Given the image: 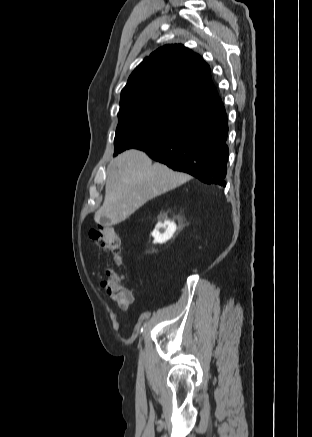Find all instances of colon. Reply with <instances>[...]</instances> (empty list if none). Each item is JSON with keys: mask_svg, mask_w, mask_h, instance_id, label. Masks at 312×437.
Segmentation results:
<instances>
[{"mask_svg": "<svg viewBox=\"0 0 312 437\" xmlns=\"http://www.w3.org/2000/svg\"><path fill=\"white\" fill-rule=\"evenodd\" d=\"M90 238L105 252L112 255L115 262L119 263L120 236L114 228L101 226L89 232ZM101 288L112 301L120 308H127L131 302L130 291L121 283L120 277L113 269H106V277L101 281Z\"/></svg>", "mask_w": 312, "mask_h": 437, "instance_id": "5ec220e1", "label": "colon"}]
</instances>
